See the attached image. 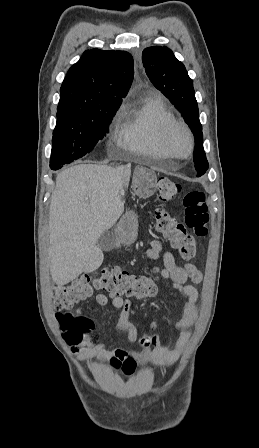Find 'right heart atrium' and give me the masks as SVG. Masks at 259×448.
I'll return each mask as SVG.
<instances>
[{
  "instance_id": "d8ad5b80",
  "label": "right heart atrium",
  "mask_w": 259,
  "mask_h": 448,
  "mask_svg": "<svg viewBox=\"0 0 259 448\" xmlns=\"http://www.w3.org/2000/svg\"><path fill=\"white\" fill-rule=\"evenodd\" d=\"M114 139H115L114 136H110L108 143H111L112 141H114Z\"/></svg>"
}]
</instances>
